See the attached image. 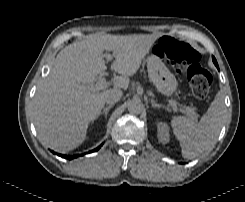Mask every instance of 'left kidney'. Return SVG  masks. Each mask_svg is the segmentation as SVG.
Listing matches in <instances>:
<instances>
[{
  "mask_svg": "<svg viewBox=\"0 0 245 202\" xmlns=\"http://www.w3.org/2000/svg\"><path fill=\"white\" fill-rule=\"evenodd\" d=\"M158 128V139L161 143L166 144L169 142L170 135H169V127L164 122H159L157 124Z\"/></svg>",
  "mask_w": 245,
  "mask_h": 202,
  "instance_id": "left-kidney-1",
  "label": "left kidney"
}]
</instances>
